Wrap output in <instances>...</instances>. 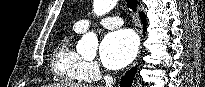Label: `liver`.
I'll use <instances>...</instances> for the list:
<instances>
[{
  "label": "liver",
  "instance_id": "6515ba94",
  "mask_svg": "<svg viewBox=\"0 0 205 87\" xmlns=\"http://www.w3.org/2000/svg\"><path fill=\"white\" fill-rule=\"evenodd\" d=\"M49 87H92L88 84H74L71 82H61V83H56V84H51Z\"/></svg>",
  "mask_w": 205,
  "mask_h": 87
}]
</instances>
